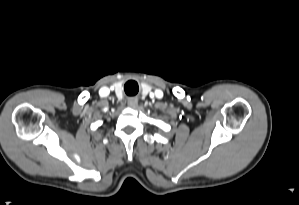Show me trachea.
Returning <instances> with one entry per match:
<instances>
[{
	"label": "trachea",
	"mask_w": 299,
	"mask_h": 205,
	"mask_svg": "<svg viewBox=\"0 0 299 205\" xmlns=\"http://www.w3.org/2000/svg\"><path fill=\"white\" fill-rule=\"evenodd\" d=\"M125 93L129 96H132L138 91V85L134 81H129L124 86Z\"/></svg>",
	"instance_id": "trachea-1"
}]
</instances>
